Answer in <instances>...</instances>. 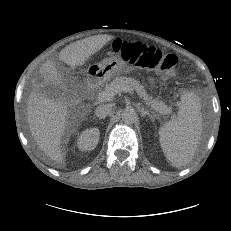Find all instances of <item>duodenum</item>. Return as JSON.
<instances>
[{
  "instance_id": "1",
  "label": "duodenum",
  "mask_w": 231,
  "mask_h": 231,
  "mask_svg": "<svg viewBox=\"0 0 231 231\" xmlns=\"http://www.w3.org/2000/svg\"><path fill=\"white\" fill-rule=\"evenodd\" d=\"M97 82H98V80H97V77H95V76H91L88 78V80L86 82V89H85L87 95H89L93 91Z\"/></svg>"
}]
</instances>
